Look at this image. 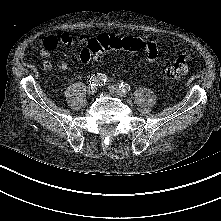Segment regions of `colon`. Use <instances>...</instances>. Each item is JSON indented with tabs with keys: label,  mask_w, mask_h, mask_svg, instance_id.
<instances>
[{
	"label": "colon",
	"mask_w": 221,
	"mask_h": 221,
	"mask_svg": "<svg viewBox=\"0 0 221 221\" xmlns=\"http://www.w3.org/2000/svg\"><path fill=\"white\" fill-rule=\"evenodd\" d=\"M146 41L140 37H115L112 35H100L91 39L86 48L81 52L80 58L87 62L99 60L100 57L111 50L128 51L133 53L144 52ZM190 64L188 59L179 55L174 58L170 66L164 70V75L168 78H178L188 73Z\"/></svg>",
	"instance_id": "1"
}]
</instances>
